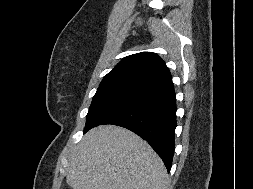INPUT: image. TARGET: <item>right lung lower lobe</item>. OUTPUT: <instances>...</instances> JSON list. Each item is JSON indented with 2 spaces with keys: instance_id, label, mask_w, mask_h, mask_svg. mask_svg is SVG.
Listing matches in <instances>:
<instances>
[{
  "instance_id": "right-lung-lower-lobe-1",
  "label": "right lung lower lobe",
  "mask_w": 253,
  "mask_h": 189,
  "mask_svg": "<svg viewBox=\"0 0 253 189\" xmlns=\"http://www.w3.org/2000/svg\"><path fill=\"white\" fill-rule=\"evenodd\" d=\"M176 110L174 87L170 84L148 92L104 117L93 127L113 124L132 130L159 154L169 172L174 154Z\"/></svg>"
}]
</instances>
